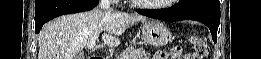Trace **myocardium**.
<instances>
[{"label": "myocardium", "instance_id": "myocardium-1", "mask_svg": "<svg viewBox=\"0 0 261 59\" xmlns=\"http://www.w3.org/2000/svg\"><path fill=\"white\" fill-rule=\"evenodd\" d=\"M167 1V0H166ZM175 0H168L167 2L163 3V4H150V3H142L139 1H133L135 4H137V6L141 7V8H145V9H161V8H165L168 6V4L174 2Z\"/></svg>", "mask_w": 261, "mask_h": 59}]
</instances>
